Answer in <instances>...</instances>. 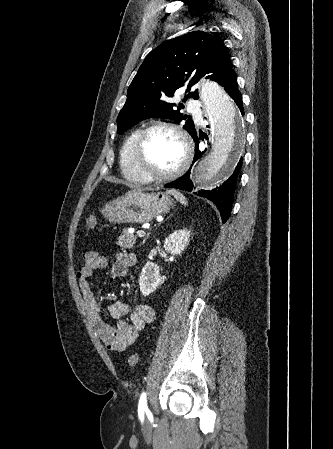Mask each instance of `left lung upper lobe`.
<instances>
[{
  "label": "left lung upper lobe",
  "mask_w": 333,
  "mask_h": 449,
  "mask_svg": "<svg viewBox=\"0 0 333 449\" xmlns=\"http://www.w3.org/2000/svg\"><path fill=\"white\" fill-rule=\"evenodd\" d=\"M232 72L223 41L207 32L192 31L161 44L146 56L128 88L117 118V133L151 117L170 118L176 123L186 120L184 129L190 135L196 133L192 118L180 113L183 105L171 102L175 91L184 86L185 74L189 79L186 101L190 96L198 99L197 90H189L203 76L222 85Z\"/></svg>",
  "instance_id": "5c2ea615"
}]
</instances>
